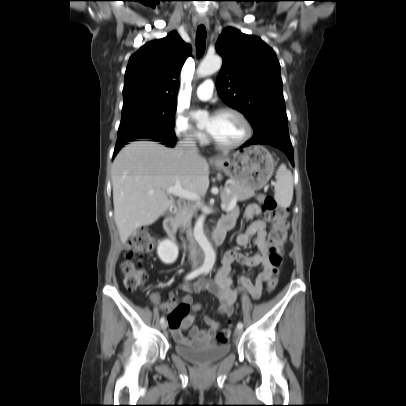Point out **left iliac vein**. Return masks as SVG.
Here are the masks:
<instances>
[{
	"mask_svg": "<svg viewBox=\"0 0 406 406\" xmlns=\"http://www.w3.org/2000/svg\"><path fill=\"white\" fill-rule=\"evenodd\" d=\"M235 334H236V335L242 334V328H236V329H235Z\"/></svg>",
	"mask_w": 406,
	"mask_h": 406,
	"instance_id": "obj_1",
	"label": "left iliac vein"
}]
</instances>
